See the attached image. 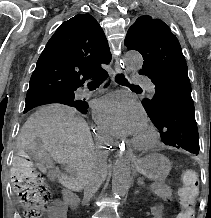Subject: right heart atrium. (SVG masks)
<instances>
[{"label": "right heart atrium", "instance_id": "d8ad5b80", "mask_svg": "<svg viewBox=\"0 0 211 218\" xmlns=\"http://www.w3.org/2000/svg\"><path fill=\"white\" fill-rule=\"evenodd\" d=\"M100 140L104 141L105 138L103 136H98Z\"/></svg>", "mask_w": 211, "mask_h": 218}]
</instances>
